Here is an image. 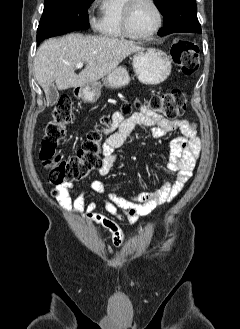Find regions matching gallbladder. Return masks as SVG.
<instances>
[{
	"label": "gallbladder",
	"instance_id": "obj_1",
	"mask_svg": "<svg viewBox=\"0 0 240 329\" xmlns=\"http://www.w3.org/2000/svg\"><path fill=\"white\" fill-rule=\"evenodd\" d=\"M48 98L51 105H55V103L58 101L59 93L54 83L49 86Z\"/></svg>",
	"mask_w": 240,
	"mask_h": 329
}]
</instances>
